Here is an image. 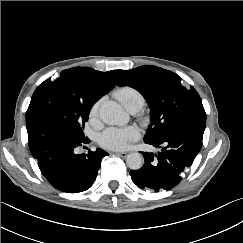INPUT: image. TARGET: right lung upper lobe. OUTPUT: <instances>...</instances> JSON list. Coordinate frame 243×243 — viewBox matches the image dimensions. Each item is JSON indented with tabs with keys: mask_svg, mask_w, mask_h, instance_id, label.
Returning a JSON list of instances; mask_svg holds the SVG:
<instances>
[{
	"mask_svg": "<svg viewBox=\"0 0 243 243\" xmlns=\"http://www.w3.org/2000/svg\"><path fill=\"white\" fill-rule=\"evenodd\" d=\"M122 70L96 71L89 67H75L61 72L57 79L74 97L92 105L116 84Z\"/></svg>",
	"mask_w": 243,
	"mask_h": 243,
	"instance_id": "cb5924a9",
	"label": "right lung upper lobe"
}]
</instances>
